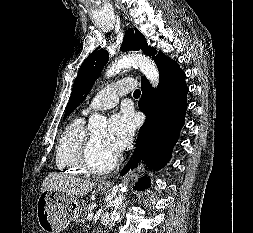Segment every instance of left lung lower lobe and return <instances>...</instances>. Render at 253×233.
Returning a JSON list of instances; mask_svg holds the SVG:
<instances>
[{"label": "left lung lower lobe", "instance_id": "1", "mask_svg": "<svg viewBox=\"0 0 253 233\" xmlns=\"http://www.w3.org/2000/svg\"><path fill=\"white\" fill-rule=\"evenodd\" d=\"M154 60L159 70V84L153 89L145 77L141 78L142 97L138 105L147 116V121L139 131L133 166L141 158H145L149 167L158 170L169 161L172 147L177 142L184 124L188 88L185 73L174 60L162 53ZM130 166L127 164L121 175H124ZM149 187L148 180L141 179L134 189L143 190Z\"/></svg>", "mask_w": 253, "mask_h": 233}]
</instances>
